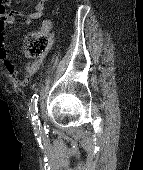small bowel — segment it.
<instances>
[{
  "label": "small bowel",
  "mask_w": 143,
  "mask_h": 170,
  "mask_svg": "<svg viewBox=\"0 0 143 170\" xmlns=\"http://www.w3.org/2000/svg\"><path fill=\"white\" fill-rule=\"evenodd\" d=\"M46 10V1L40 0L38 1L33 10L28 13H13L8 15L4 20L0 21V59L2 61V64L8 71V73L16 79V82L20 86H25L28 82L31 76H33L41 67L43 64V58H40L38 60H35L33 62H30L26 64L24 71L25 76L21 79H18V76L20 74V71L16 68V66L12 63L8 52L4 49V42L6 39L5 34V27L8 25H12L16 21V17H20L21 21L26 25H31L35 20L40 19ZM51 29V22L48 20H45L41 23L39 30L41 33H47Z\"/></svg>",
  "instance_id": "obj_1"
}]
</instances>
